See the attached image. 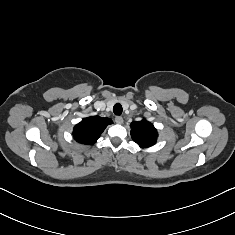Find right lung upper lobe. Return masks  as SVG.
Returning <instances> with one entry per match:
<instances>
[{"mask_svg":"<svg viewBox=\"0 0 235 235\" xmlns=\"http://www.w3.org/2000/svg\"><path fill=\"white\" fill-rule=\"evenodd\" d=\"M112 123L111 119L99 116L84 118L74 127V139L81 144L93 145L105 128Z\"/></svg>","mask_w":235,"mask_h":235,"instance_id":"right-lung-upper-lobe-1","label":"right lung upper lobe"}]
</instances>
